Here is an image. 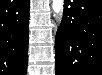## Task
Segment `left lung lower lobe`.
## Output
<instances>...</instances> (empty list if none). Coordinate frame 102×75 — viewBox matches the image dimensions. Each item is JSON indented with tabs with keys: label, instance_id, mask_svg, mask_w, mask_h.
Segmentation results:
<instances>
[{
	"label": "left lung lower lobe",
	"instance_id": "left-lung-lower-lobe-1",
	"mask_svg": "<svg viewBox=\"0 0 102 75\" xmlns=\"http://www.w3.org/2000/svg\"><path fill=\"white\" fill-rule=\"evenodd\" d=\"M56 75H102V2L65 0L56 35Z\"/></svg>",
	"mask_w": 102,
	"mask_h": 75
}]
</instances>
